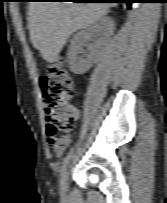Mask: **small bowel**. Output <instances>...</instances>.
<instances>
[{
    "label": "small bowel",
    "instance_id": "c3829d8e",
    "mask_svg": "<svg viewBox=\"0 0 167 203\" xmlns=\"http://www.w3.org/2000/svg\"><path fill=\"white\" fill-rule=\"evenodd\" d=\"M77 116H78V111L75 109ZM70 144V138L68 136H64L61 139H59L56 143V145L51 146L53 151L58 155H62L69 147Z\"/></svg>",
    "mask_w": 167,
    "mask_h": 203
}]
</instances>
